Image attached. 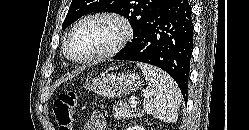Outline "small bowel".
I'll return each mask as SVG.
<instances>
[{"label":"small bowel","mask_w":249,"mask_h":130,"mask_svg":"<svg viewBox=\"0 0 249 130\" xmlns=\"http://www.w3.org/2000/svg\"><path fill=\"white\" fill-rule=\"evenodd\" d=\"M106 119L103 113L98 110H94L90 118L85 122L84 130H105Z\"/></svg>","instance_id":"1"}]
</instances>
